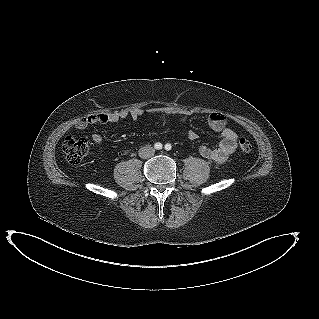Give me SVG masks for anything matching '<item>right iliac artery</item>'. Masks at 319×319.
<instances>
[{"label": "right iliac artery", "mask_w": 319, "mask_h": 319, "mask_svg": "<svg viewBox=\"0 0 319 319\" xmlns=\"http://www.w3.org/2000/svg\"><path fill=\"white\" fill-rule=\"evenodd\" d=\"M154 148L157 149V150H160V149H162V144L157 142V143L154 144Z\"/></svg>", "instance_id": "right-iliac-artery-1"}]
</instances>
